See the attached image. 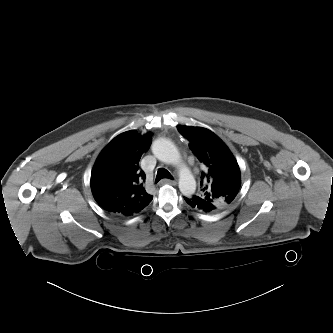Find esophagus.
<instances>
[{
	"label": "esophagus",
	"instance_id": "obj_1",
	"mask_svg": "<svg viewBox=\"0 0 333 333\" xmlns=\"http://www.w3.org/2000/svg\"><path fill=\"white\" fill-rule=\"evenodd\" d=\"M161 184L176 185L177 181L176 180H170V179H163V180H161Z\"/></svg>",
	"mask_w": 333,
	"mask_h": 333
}]
</instances>
